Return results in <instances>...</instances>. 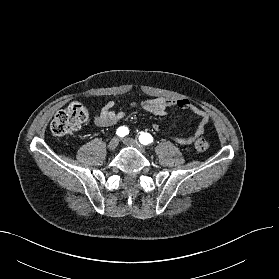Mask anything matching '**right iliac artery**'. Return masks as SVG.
<instances>
[{"label":"right iliac artery","instance_id":"1","mask_svg":"<svg viewBox=\"0 0 279 279\" xmlns=\"http://www.w3.org/2000/svg\"><path fill=\"white\" fill-rule=\"evenodd\" d=\"M116 134L118 137L120 138H123L124 136H126L127 134H129V130L127 127L125 126H122V127H119L116 131Z\"/></svg>","mask_w":279,"mask_h":279}]
</instances>
